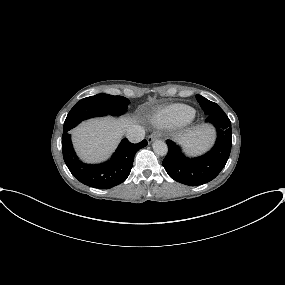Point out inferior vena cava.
<instances>
[{"mask_svg":"<svg viewBox=\"0 0 285 285\" xmlns=\"http://www.w3.org/2000/svg\"><path fill=\"white\" fill-rule=\"evenodd\" d=\"M127 139L132 143H138L145 137V130L141 126L128 127L125 130Z\"/></svg>","mask_w":285,"mask_h":285,"instance_id":"obj_1","label":"inferior vena cava"}]
</instances>
